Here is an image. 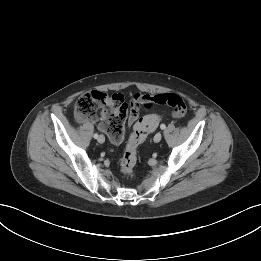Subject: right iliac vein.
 I'll list each match as a JSON object with an SVG mask.
<instances>
[{"label":"right iliac vein","mask_w":261,"mask_h":261,"mask_svg":"<svg viewBox=\"0 0 261 261\" xmlns=\"http://www.w3.org/2000/svg\"><path fill=\"white\" fill-rule=\"evenodd\" d=\"M98 142L99 143H104L105 142V137L103 135H100L98 138H97Z\"/></svg>","instance_id":"right-iliac-vein-1"}]
</instances>
